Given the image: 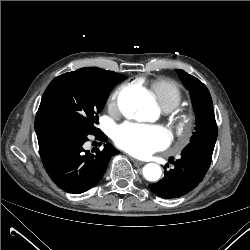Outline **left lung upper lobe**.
<instances>
[{
  "instance_id": "1",
  "label": "left lung upper lobe",
  "mask_w": 250,
  "mask_h": 250,
  "mask_svg": "<svg viewBox=\"0 0 250 250\" xmlns=\"http://www.w3.org/2000/svg\"><path fill=\"white\" fill-rule=\"evenodd\" d=\"M176 71L184 86L190 92L193 109L196 114V131L191 142L208 137H216L218 128L215 121L212 99L208 89L194 76L180 69Z\"/></svg>"
}]
</instances>
